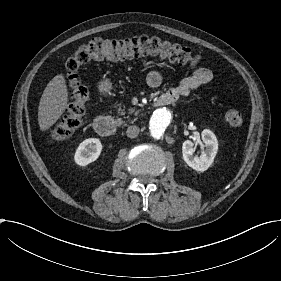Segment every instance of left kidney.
Here are the masks:
<instances>
[{"label":"left kidney","instance_id":"obj_1","mask_svg":"<svg viewBox=\"0 0 281 281\" xmlns=\"http://www.w3.org/2000/svg\"><path fill=\"white\" fill-rule=\"evenodd\" d=\"M201 138L203 144H200V146L205 148V151H203L200 156H193L195 147L199 145V143L193 142L191 140H186L183 142L182 154L184 161L191 169L204 172L210 167L214 157L216 156L218 142L215 135L209 130L202 131Z\"/></svg>","mask_w":281,"mask_h":281}]
</instances>
